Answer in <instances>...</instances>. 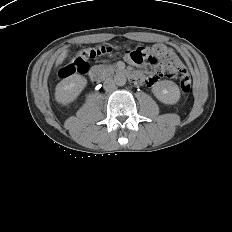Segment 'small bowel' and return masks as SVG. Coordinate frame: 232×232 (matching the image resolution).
Segmentation results:
<instances>
[{"mask_svg":"<svg viewBox=\"0 0 232 232\" xmlns=\"http://www.w3.org/2000/svg\"><path fill=\"white\" fill-rule=\"evenodd\" d=\"M162 46H163V45H162ZM163 47H164L166 53L169 54L170 56H172V57L174 58V61H175L176 66L179 67V68H183L182 62H181L180 59L177 57V55L173 52V50H172L171 48L166 47V46H163ZM150 50H152V48H150ZM129 61H130L131 63H135V62H133L131 59H129ZM155 79H157V78H155Z\"/></svg>","mask_w":232,"mask_h":232,"instance_id":"obj_1","label":"small bowel"}]
</instances>
